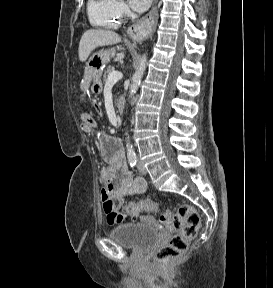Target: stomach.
Instances as JSON below:
<instances>
[{
  "mask_svg": "<svg viewBox=\"0 0 273 288\" xmlns=\"http://www.w3.org/2000/svg\"><path fill=\"white\" fill-rule=\"evenodd\" d=\"M115 55V48L103 49L90 57L84 75V82L87 86L92 83L91 91L99 94L102 91L101 74L110 59Z\"/></svg>",
  "mask_w": 273,
  "mask_h": 288,
  "instance_id": "0dacf381",
  "label": "stomach"
}]
</instances>
